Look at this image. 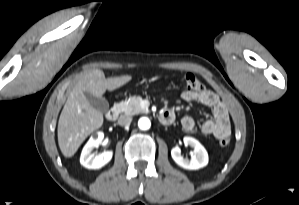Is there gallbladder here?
Segmentation results:
<instances>
[{
    "mask_svg": "<svg viewBox=\"0 0 299 205\" xmlns=\"http://www.w3.org/2000/svg\"><path fill=\"white\" fill-rule=\"evenodd\" d=\"M85 96L87 98V100L89 101V103L98 111L105 113L109 110V103L108 101L103 98H97L95 96H93L90 93L85 92Z\"/></svg>",
    "mask_w": 299,
    "mask_h": 205,
    "instance_id": "bac80fb5",
    "label": "gallbladder"
}]
</instances>
